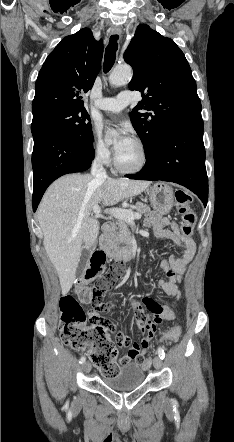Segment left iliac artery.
<instances>
[{
    "mask_svg": "<svg viewBox=\"0 0 234 442\" xmlns=\"http://www.w3.org/2000/svg\"><path fill=\"white\" fill-rule=\"evenodd\" d=\"M157 353H158L159 357L163 360L165 357L164 350L161 347H159L157 350Z\"/></svg>",
    "mask_w": 234,
    "mask_h": 442,
    "instance_id": "1",
    "label": "left iliac artery"
}]
</instances>
